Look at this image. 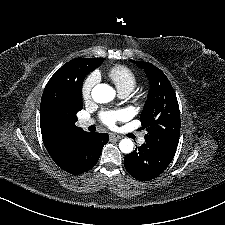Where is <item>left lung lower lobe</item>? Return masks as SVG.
I'll use <instances>...</instances> for the list:
<instances>
[{
    "label": "left lung lower lobe",
    "mask_w": 225,
    "mask_h": 225,
    "mask_svg": "<svg viewBox=\"0 0 225 225\" xmlns=\"http://www.w3.org/2000/svg\"><path fill=\"white\" fill-rule=\"evenodd\" d=\"M176 148L157 142L136 146L135 151L124 157L126 170L135 179L149 181L159 176L171 163Z\"/></svg>",
    "instance_id": "1"
}]
</instances>
